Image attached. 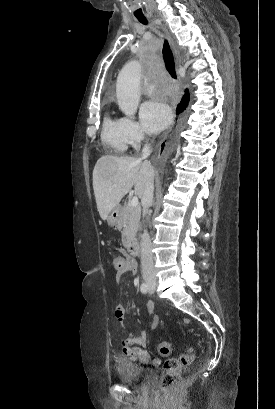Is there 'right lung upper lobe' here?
<instances>
[{"mask_svg": "<svg viewBox=\"0 0 275 409\" xmlns=\"http://www.w3.org/2000/svg\"><path fill=\"white\" fill-rule=\"evenodd\" d=\"M187 100H189V93H188V90H186V93H185L184 97L182 98V100H181L180 104H182V103L186 102ZM180 104H179V105H180Z\"/></svg>", "mask_w": 275, "mask_h": 409, "instance_id": "1", "label": "right lung upper lobe"}]
</instances>
